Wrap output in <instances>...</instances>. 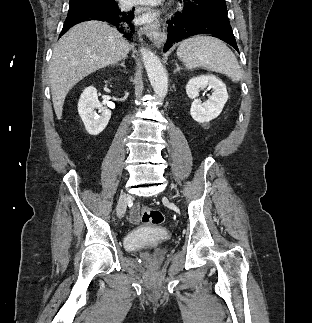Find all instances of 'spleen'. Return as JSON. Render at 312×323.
Wrapping results in <instances>:
<instances>
[{
	"label": "spleen",
	"instance_id": "3e777b00",
	"mask_svg": "<svg viewBox=\"0 0 312 323\" xmlns=\"http://www.w3.org/2000/svg\"><path fill=\"white\" fill-rule=\"evenodd\" d=\"M177 56L188 70L205 68L209 72L226 74L232 82L241 78L240 66L231 50L224 42L211 36H192L180 42Z\"/></svg>",
	"mask_w": 312,
	"mask_h": 323
}]
</instances>
